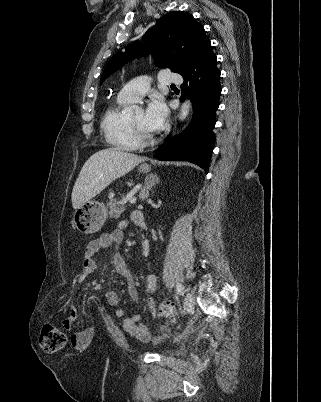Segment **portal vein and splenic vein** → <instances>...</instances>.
<instances>
[{
    "instance_id": "18ae733b",
    "label": "portal vein and splenic vein",
    "mask_w": 321,
    "mask_h": 402,
    "mask_svg": "<svg viewBox=\"0 0 321 402\" xmlns=\"http://www.w3.org/2000/svg\"><path fill=\"white\" fill-rule=\"evenodd\" d=\"M129 202L131 203V204H134V203H136V197H130L129 198Z\"/></svg>"
}]
</instances>
